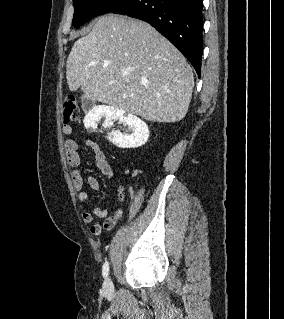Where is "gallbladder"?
Segmentation results:
<instances>
[{
    "instance_id": "obj_1",
    "label": "gallbladder",
    "mask_w": 284,
    "mask_h": 319,
    "mask_svg": "<svg viewBox=\"0 0 284 319\" xmlns=\"http://www.w3.org/2000/svg\"><path fill=\"white\" fill-rule=\"evenodd\" d=\"M93 104H94L93 101L88 100V99H83V106H84V108L89 109L90 107L93 106Z\"/></svg>"
}]
</instances>
